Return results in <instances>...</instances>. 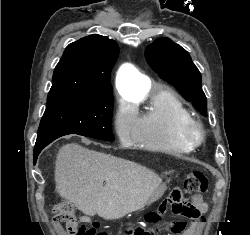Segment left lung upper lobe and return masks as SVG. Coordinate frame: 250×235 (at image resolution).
<instances>
[{"mask_svg":"<svg viewBox=\"0 0 250 235\" xmlns=\"http://www.w3.org/2000/svg\"><path fill=\"white\" fill-rule=\"evenodd\" d=\"M146 59L162 79L173 85L198 111L206 113L201 74L186 50L169 38H160L147 48Z\"/></svg>","mask_w":250,"mask_h":235,"instance_id":"left-lung-upper-lobe-1","label":"left lung upper lobe"}]
</instances>
